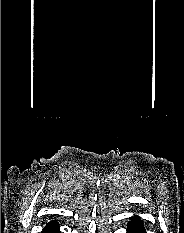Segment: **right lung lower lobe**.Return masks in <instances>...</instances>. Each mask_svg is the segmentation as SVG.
Instances as JSON below:
<instances>
[{
  "instance_id": "obj_1",
  "label": "right lung lower lobe",
  "mask_w": 184,
  "mask_h": 233,
  "mask_svg": "<svg viewBox=\"0 0 184 233\" xmlns=\"http://www.w3.org/2000/svg\"><path fill=\"white\" fill-rule=\"evenodd\" d=\"M41 233H61L59 231V224L56 221H50Z\"/></svg>"
}]
</instances>
